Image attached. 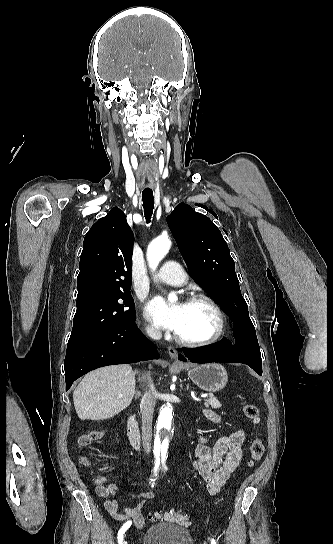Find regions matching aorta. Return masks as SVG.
I'll list each match as a JSON object with an SVG mask.
<instances>
[{
	"mask_svg": "<svg viewBox=\"0 0 333 544\" xmlns=\"http://www.w3.org/2000/svg\"><path fill=\"white\" fill-rule=\"evenodd\" d=\"M171 246V242L168 236L161 235L157 237L147 249V260L150 267L155 270L159 262L168 253ZM169 300H176L174 294L169 295ZM172 408L170 405L162 407L155 432L154 452L156 455L162 457L166 456L169 442L172 434Z\"/></svg>",
	"mask_w": 333,
	"mask_h": 544,
	"instance_id": "aorta-1",
	"label": "aorta"
}]
</instances>
